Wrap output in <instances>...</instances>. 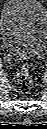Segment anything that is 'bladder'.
<instances>
[{
  "instance_id": "obj_1",
  "label": "bladder",
  "mask_w": 47,
  "mask_h": 129,
  "mask_svg": "<svg viewBox=\"0 0 47 129\" xmlns=\"http://www.w3.org/2000/svg\"><path fill=\"white\" fill-rule=\"evenodd\" d=\"M5 49L21 58L35 57L46 47L47 11L38 0H7L0 16Z\"/></svg>"
}]
</instances>
